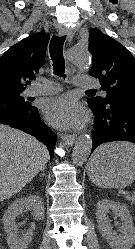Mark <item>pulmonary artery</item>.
<instances>
[{
  "instance_id": "pulmonary-artery-1",
  "label": "pulmonary artery",
  "mask_w": 135,
  "mask_h": 249,
  "mask_svg": "<svg viewBox=\"0 0 135 249\" xmlns=\"http://www.w3.org/2000/svg\"><path fill=\"white\" fill-rule=\"evenodd\" d=\"M74 84L78 87H84V88L99 87V84L96 81V79L90 76H76L74 78ZM60 90H61L60 84L45 80L42 83H36L31 87H29L25 91V95L26 96L50 95L58 93Z\"/></svg>"
}]
</instances>
